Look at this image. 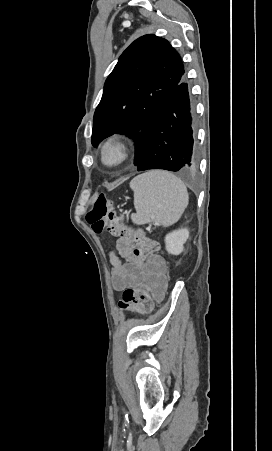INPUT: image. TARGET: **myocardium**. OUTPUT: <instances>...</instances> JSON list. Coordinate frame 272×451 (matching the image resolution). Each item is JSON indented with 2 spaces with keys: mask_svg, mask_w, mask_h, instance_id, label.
Returning <instances> with one entry per match:
<instances>
[{
  "mask_svg": "<svg viewBox=\"0 0 272 451\" xmlns=\"http://www.w3.org/2000/svg\"><path fill=\"white\" fill-rule=\"evenodd\" d=\"M110 154L116 157L114 162L108 160ZM99 160L105 167L119 169L128 160V152L123 143L115 139H109L101 147Z\"/></svg>",
  "mask_w": 272,
  "mask_h": 451,
  "instance_id": "obj_1",
  "label": "myocardium"
}]
</instances>
